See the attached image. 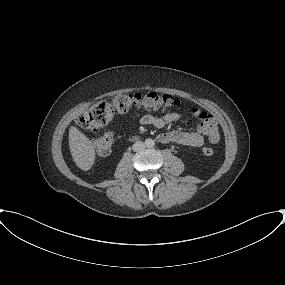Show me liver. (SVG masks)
I'll return each mask as SVG.
<instances>
[{"label":"liver","mask_w":285,"mask_h":285,"mask_svg":"<svg viewBox=\"0 0 285 285\" xmlns=\"http://www.w3.org/2000/svg\"><path fill=\"white\" fill-rule=\"evenodd\" d=\"M69 147L75 164L83 171L90 170L95 161L94 146L75 126L69 129Z\"/></svg>","instance_id":"6515ba94"}]
</instances>
